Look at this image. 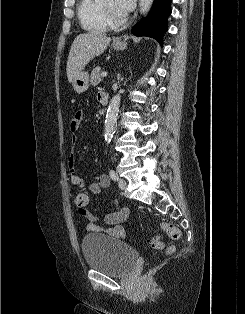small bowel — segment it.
<instances>
[{
	"mask_svg": "<svg viewBox=\"0 0 245 314\" xmlns=\"http://www.w3.org/2000/svg\"><path fill=\"white\" fill-rule=\"evenodd\" d=\"M100 100V96H99ZM83 118L82 111H76L71 122H70V130L73 133L71 138L72 147H75L77 144V137L75 132L78 130L80 123ZM76 156L74 152H71L69 162H68V170L70 182L75 187H85L86 183L84 179L78 174L75 166ZM111 187V181L106 175H100L96 178L95 182L90 183L87 186V191L91 194H99L102 189H109ZM116 209L107 214L103 219V225L97 223L98 217L94 215L89 210H85L80 212V214L86 218L89 223L86 225V230L89 232L102 233L110 238L122 240L126 237V230L121 225L129 216V208L127 206H119L118 200L113 201Z\"/></svg>",
	"mask_w": 245,
	"mask_h": 314,
	"instance_id": "obj_1",
	"label": "small bowel"
}]
</instances>
